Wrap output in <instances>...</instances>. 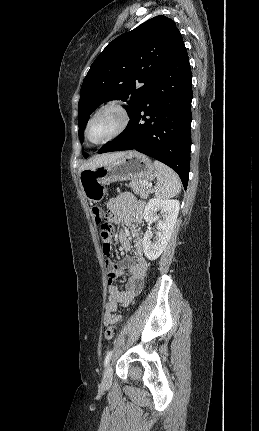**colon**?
I'll return each mask as SVG.
<instances>
[{"mask_svg":"<svg viewBox=\"0 0 259 431\" xmlns=\"http://www.w3.org/2000/svg\"><path fill=\"white\" fill-rule=\"evenodd\" d=\"M92 212L97 225L99 226L100 238L103 246V253L105 256L110 255L111 247L110 241L112 237L113 227L108 222L102 221L103 210L99 205H94L92 207ZM115 334V327L113 325L109 326L105 330V338L107 340H112Z\"/></svg>","mask_w":259,"mask_h":431,"instance_id":"colon-1","label":"colon"}]
</instances>
